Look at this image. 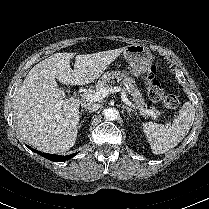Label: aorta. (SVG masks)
I'll return each mask as SVG.
<instances>
[{
    "label": "aorta",
    "instance_id": "obj_1",
    "mask_svg": "<svg viewBox=\"0 0 209 209\" xmlns=\"http://www.w3.org/2000/svg\"><path fill=\"white\" fill-rule=\"evenodd\" d=\"M118 117V111L114 108H108L104 112V118L108 121H113Z\"/></svg>",
    "mask_w": 209,
    "mask_h": 209
}]
</instances>
